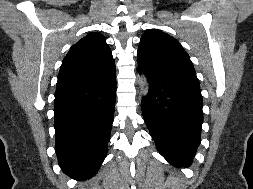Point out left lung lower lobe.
<instances>
[{
	"label": "left lung lower lobe",
	"mask_w": 253,
	"mask_h": 189,
	"mask_svg": "<svg viewBox=\"0 0 253 189\" xmlns=\"http://www.w3.org/2000/svg\"><path fill=\"white\" fill-rule=\"evenodd\" d=\"M150 84L142 113L158 150L176 167H188L201 142L203 123L200 87L138 67Z\"/></svg>",
	"instance_id": "0a47b994"
}]
</instances>
